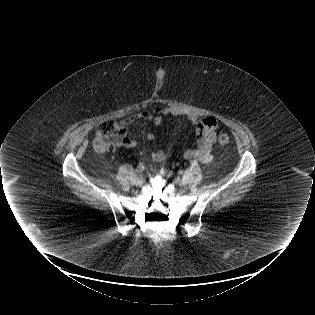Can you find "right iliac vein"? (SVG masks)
<instances>
[{
	"instance_id": "right-iliac-vein-1",
	"label": "right iliac vein",
	"mask_w": 315,
	"mask_h": 315,
	"mask_svg": "<svg viewBox=\"0 0 315 315\" xmlns=\"http://www.w3.org/2000/svg\"><path fill=\"white\" fill-rule=\"evenodd\" d=\"M145 182V176L144 175H140L137 179H136V183L138 185H143Z\"/></svg>"
}]
</instances>
